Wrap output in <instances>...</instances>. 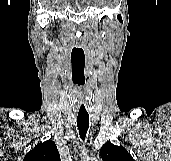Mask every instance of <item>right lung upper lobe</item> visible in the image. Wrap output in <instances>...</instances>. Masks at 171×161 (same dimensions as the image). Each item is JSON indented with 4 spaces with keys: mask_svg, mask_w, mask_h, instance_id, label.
I'll return each mask as SVG.
<instances>
[{
    "mask_svg": "<svg viewBox=\"0 0 171 161\" xmlns=\"http://www.w3.org/2000/svg\"><path fill=\"white\" fill-rule=\"evenodd\" d=\"M23 161H61L55 142L48 140L29 151Z\"/></svg>",
    "mask_w": 171,
    "mask_h": 161,
    "instance_id": "right-lung-upper-lobe-1",
    "label": "right lung upper lobe"
}]
</instances>
